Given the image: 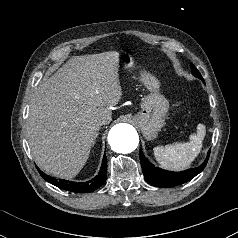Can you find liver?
I'll list each match as a JSON object with an SVG mask.
<instances>
[{
    "label": "liver",
    "mask_w": 238,
    "mask_h": 238,
    "mask_svg": "<svg viewBox=\"0 0 238 238\" xmlns=\"http://www.w3.org/2000/svg\"><path fill=\"white\" fill-rule=\"evenodd\" d=\"M119 53L74 56L40 84L30 101L27 139L47 174L75 177L88 160L97 121L112 120L121 99Z\"/></svg>",
    "instance_id": "liver-1"
}]
</instances>
